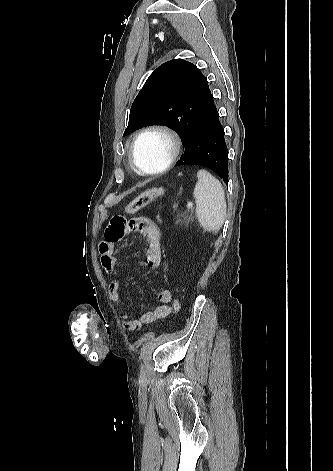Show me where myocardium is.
<instances>
[{"mask_svg":"<svg viewBox=\"0 0 333 471\" xmlns=\"http://www.w3.org/2000/svg\"><path fill=\"white\" fill-rule=\"evenodd\" d=\"M152 132L161 133L164 136H166L167 139L170 142L171 151H170V155H169L167 161L165 162V164L162 167H160L159 169L153 170V171H148V170H145L142 167H140L138 165V163L136 162L135 148H136V145H137L138 141L144 135H146L148 133H152ZM180 150H181V140H180L179 136L177 135V133L173 129H171L170 127H168L166 125H163V124H150V125H147L144 128H142L140 131H138L135 134V136L133 137V139L131 141V144H130V148H129V162H130L131 166L138 173H140L142 175H146V176L158 175V174H161V173L167 171L172 166V164L176 161V159H177V157L180 153Z\"/></svg>","mask_w":333,"mask_h":471,"instance_id":"obj_1","label":"myocardium"}]
</instances>
